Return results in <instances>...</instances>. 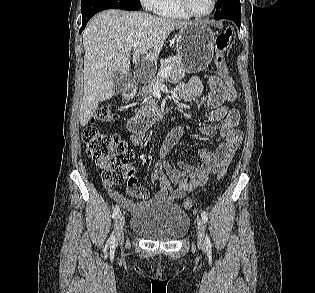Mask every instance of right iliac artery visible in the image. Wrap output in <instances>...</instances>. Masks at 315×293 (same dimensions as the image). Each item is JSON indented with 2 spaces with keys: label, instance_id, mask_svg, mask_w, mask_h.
Wrapping results in <instances>:
<instances>
[{
  "label": "right iliac artery",
  "instance_id": "1",
  "mask_svg": "<svg viewBox=\"0 0 315 293\" xmlns=\"http://www.w3.org/2000/svg\"><path fill=\"white\" fill-rule=\"evenodd\" d=\"M119 212H120V208L117 206L115 207V209L113 210V218H116L118 215H119ZM107 244L110 246V247H114L115 246V237H114V234H112L110 236V238L108 239V242Z\"/></svg>",
  "mask_w": 315,
  "mask_h": 293
}]
</instances>
